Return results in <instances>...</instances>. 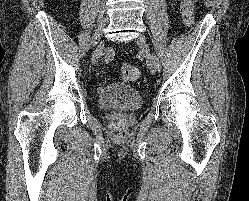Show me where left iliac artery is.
<instances>
[{"label": "left iliac artery", "instance_id": "1", "mask_svg": "<svg viewBox=\"0 0 249 201\" xmlns=\"http://www.w3.org/2000/svg\"><path fill=\"white\" fill-rule=\"evenodd\" d=\"M152 58H153L154 63H155V65H156L157 71H160V70H161V65H160V62H159L158 57H157L155 54H153V55H152Z\"/></svg>", "mask_w": 249, "mask_h": 201}]
</instances>
